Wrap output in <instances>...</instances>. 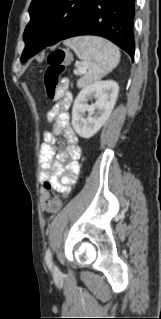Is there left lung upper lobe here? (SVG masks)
<instances>
[{
	"instance_id": "5c2ea615",
	"label": "left lung upper lobe",
	"mask_w": 161,
	"mask_h": 319,
	"mask_svg": "<svg viewBox=\"0 0 161 319\" xmlns=\"http://www.w3.org/2000/svg\"><path fill=\"white\" fill-rule=\"evenodd\" d=\"M92 1L32 0L29 8L30 22L23 35L26 46L21 60L27 59L23 58L30 52L33 44L39 52L46 46L54 45L62 40Z\"/></svg>"
}]
</instances>
